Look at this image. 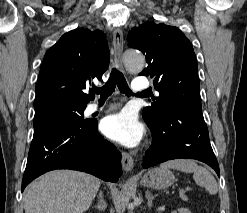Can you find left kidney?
Returning a JSON list of instances; mask_svg holds the SVG:
<instances>
[{"label": "left kidney", "mask_w": 247, "mask_h": 213, "mask_svg": "<svg viewBox=\"0 0 247 213\" xmlns=\"http://www.w3.org/2000/svg\"><path fill=\"white\" fill-rule=\"evenodd\" d=\"M179 213H191V212L186 208H180Z\"/></svg>", "instance_id": "left-kidney-1"}]
</instances>
